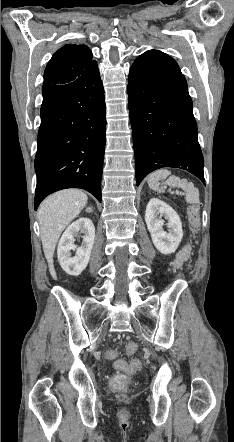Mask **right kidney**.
<instances>
[{
  "instance_id": "1",
  "label": "right kidney",
  "mask_w": 234,
  "mask_h": 442,
  "mask_svg": "<svg viewBox=\"0 0 234 442\" xmlns=\"http://www.w3.org/2000/svg\"><path fill=\"white\" fill-rule=\"evenodd\" d=\"M84 233L80 247L74 244L75 236ZM95 238V227L89 218H79L68 226L63 233L57 249L58 260L62 269L73 276H78L87 267ZM71 250L75 251L72 256Z\"/></svg>"
}]
</instances>
